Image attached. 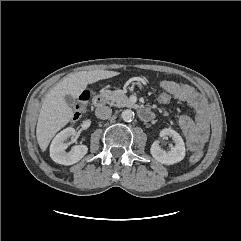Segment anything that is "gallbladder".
<instances>
[{"mask_svg":"<svg viewBox=\"0 0 241 241\" xmlns=\"http://www.w3.org/2000/svg\"><path fill=\"white\" fill-rule=\"evenodd\" d=\"M64 99L69 106H73L75 103V99L71 95H65Z\"/></svg>","mask_w":241,"mask_h":241,"instance_id":"obj_1","label":"gallbladder"}]
</instances>
